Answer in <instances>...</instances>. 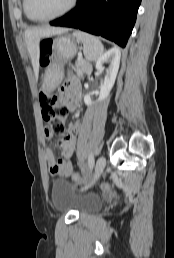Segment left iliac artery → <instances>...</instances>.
Masks as SVG:
<instances>
[{
  "label": "left iliac artery",
  "instance_id": "44dca946",
  "mask_svg": "<svg viewBox=\"0 0 174 258\" xmlns=\"http://www.w3.org/2000/svg\"><path fill=\"white\" fill-rule=\"evenodd\" d=\"M88 164H89V168L90 170H92L93 166H94V157L92 154H90L89 158H88Z\"/></svg>",
  "mask_w": 174,
  "mask_h": 258
}]
</instances>
